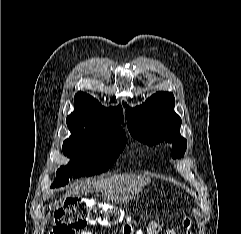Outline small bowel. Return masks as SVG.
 Listing matches in <instances>:
<instances>
[{
    "mask_svg": "<svg viewBox=\"0 0 241 234\" xmlns=\"http://www.w3.org/2000/svg\"><path fill=\"white\" fill-rule=\"evenodd\" d=\"M80 234H93V233L91 231L84 230V231H81Z\"/></svg>",
    "mask_w": 241,
    "mask_h": 234,
    "instance_id": "small-bowel-1",
    "label": "small bowel"
}]
</instances>
